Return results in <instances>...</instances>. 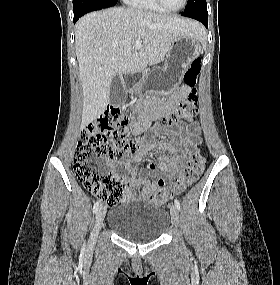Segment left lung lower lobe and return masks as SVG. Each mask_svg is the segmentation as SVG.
Segmentation results:
<instances>
[{
    "mask_svg": "<svg viewBox=\"0 0 280 285\" xmlns=\"http://www.w3.org/2000/svg\"><path fill=\"white\" fill-rule=\"evenodd\" d=\"M181 15L190 17L193 19H196L200 22H202L205 27H208V12L206 10H197V11H192V12H183Z\"/></svg>",
    "mask_w": 280,
    "mask_h": 285,
    "instance_id": "1",
    "label": "left lung lower lobe"
}]
</instances>
